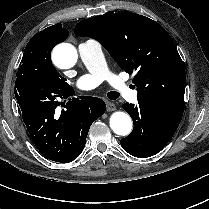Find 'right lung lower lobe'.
Listing matches in <instances>:
<instances>
[{"instance_id": "right-lung-lower-lobe-1", "label": "right lung lower lobe", "mask_w": 209, "mask_h": 209, "mask_svg": "<svg viewBox=\"0 0 209 209\" xmlns=\"http://www.w3.org/2000/svg\"><path fill=\"white\" fill-rule=\"evenodd\" d=\"M73 94L71 86L60 90L27 79L15 82V97L30 137L49 160L67 163L77 158L84 149L91 124L106 111L101 99L69 98ZM60 98H69L61 114L55 112Z\"/></svg>"}]
</instances>
